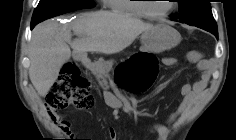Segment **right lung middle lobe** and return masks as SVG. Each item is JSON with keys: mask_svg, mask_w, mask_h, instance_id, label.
<instances>
[{"mask_svg": "<svg viewBox=\"0 0 236 140\" xmlns=\"http://www.w3.org/2000/svg\"><path fill=\"white\" fill-rule=\"evenodd\" d=\"M95 3L92 0H40L35 8L31 24H37L43 20L84 8H92Z\"/></svg>", "mask_w": 236, "mask_h": 140, "instance_id": "1", "label": "right lung middle lobe"}]
</instances>
